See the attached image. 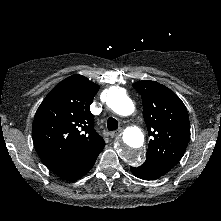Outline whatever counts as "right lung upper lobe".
<instances>
[{
    "mask_svg": "<svg viewBox=\"0 0 221 221\" xmlns=\"http://www.w3.org/2000/svg\"><path fill=\"white\" fill-rule=\"evenodd\" d=\"M98 89L86 77L72 75L57 84L37 109L33 142L50 170L73 164L105 145L89 109Z\"/></svg>",
    "mask_w": 221,
    "mask_h": 221,
    "instance_id": "1",
    "label": "right lung upper lobe"
}]
</instances>
